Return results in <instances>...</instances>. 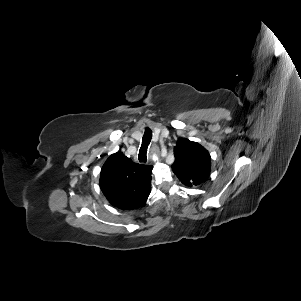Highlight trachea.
Masks as SVG:
<instances>
[{
    "instance_id": "1",
    "label": "trachea",
    "mask_w": 301,
    "mask_h": 301,
    "mask_svg": "<svg viewBox=\"0 0 301 301\" xmlns=\"http://www.w3.org/2000/svg\"><path fill=\"white\" fill-rule=\"evenodd\" d=\"M152 138V131L150 128H145V132H144V136H143V140H142V144L139 150V161L140 162H146L147 161V149H148V145L151 141Z\"/></svg>"
}]
</instances>
